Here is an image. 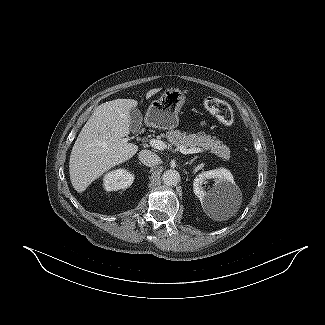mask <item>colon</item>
I'll return each instance as SVG.
<instances>
[{
  "label": "colon",
  "mask_w": 325,
  "mask_h": 325,
  "mask_svg": "<svg viewBox=\"0 0 325 325\" xmlns=\"http://www.w3.org/2000/svg\"><path fill=\"white\" fill-rule=\"evenodd\" d=\"M205 108L214 114L217 119L225 126H231L235 117L231 106L223 100L215 97H207L204 100Z\"/></svg>",
  "instance_id": "colon-1"
}]
</instances>
